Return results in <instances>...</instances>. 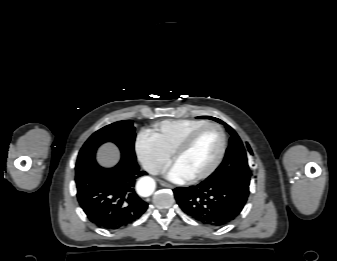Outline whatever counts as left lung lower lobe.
<instances>
[{"label":"left lung lower lobe","instance_id":"obj_1","mask_svg":"<svg viewBox=\"0 0 337 261\" xmlns=\"http://www.w3.org/2000/svg\"><path fill=\"white\" fill-rule=\"evenodd\" d=\"M185 214L208 226L221 227L232 222L242 211L248 196L222 181L204 180L196 186L173 190Z\"/></svg>","mask_w":337,"mask_h":261}]
</instances>
